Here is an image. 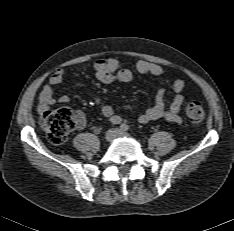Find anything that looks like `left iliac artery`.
<instances>
[{"mask_svg":"<svg viewBox=\"0 0 234 231\" xmlns=\"http://www.w3.org/2000/svg\"><path fill=\"white\" fill-rule=\"evenodd\" d=\"M120 130H122V131H127V130H129V126H128L127 124H122V125L120 126Z\"/></svg>","mask_w":234,"mask_h":231,"instance_id":"obj_1","label":"left iliac artery"}]
</instances>
